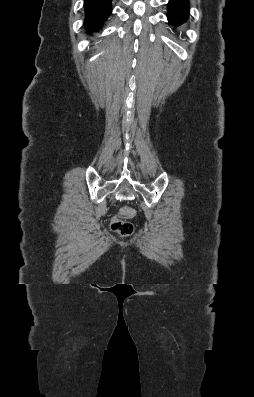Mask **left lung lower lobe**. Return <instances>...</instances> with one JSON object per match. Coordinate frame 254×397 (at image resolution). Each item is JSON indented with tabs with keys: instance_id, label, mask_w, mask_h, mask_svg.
I'll use <instances>...</instances> for the list:
<instances>
[{
	"instance_id": "left-lung-lower-lobe-1",
	"label": "left lung lower lobe",
	"mask_w": 254,
	"mask_h": 397,
	"mask_svg": "<svg viewBox=\"0 0 254 397\" xmlns=\"http://www.w3.org/2000/svg\"><path fill=\"white\" fill-rule=\"evenodd\" d=\"M168 21L176 27L184 23L189 16L188 0H169L168 3Z\"/></svg>"
}]
</instances>
